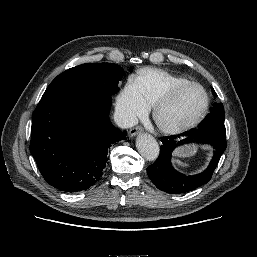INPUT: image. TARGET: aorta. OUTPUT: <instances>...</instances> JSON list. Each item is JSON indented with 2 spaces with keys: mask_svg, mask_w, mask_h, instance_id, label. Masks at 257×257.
I'll use <instances>...</instances> for the list:
<instances>
[{
  "mask_svg": "<svg viewBox=\"0 0 257 257\" xmlns=\"http://www.w3.org/2000/svg\"><path fill=\"white\" fill-rule=\"evenodd\" d=\"M136 147L140 155L148 161H154L159 156V145L150 134H140L136 139Z\"/></svg>",
  "mask_w": 257,
  "mask_h": 257,
  "instance_id": "aorta-1",
  "label": "aorta"
}]
</instances>
